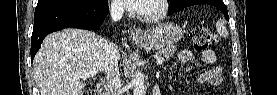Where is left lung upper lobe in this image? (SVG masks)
I'll return each instance as SVG.
<instances>
[{
    "label": "left lung upper lobe",
    "instance_id": "1",
    "mask_svg": "<svg viewBox=\"0 0 277 95\" xmlns=\"http://www.w3.org/2000/svg\"><path fill=\"white\" fill-rule=\"evenodd\" d=\"M186 0H170V5H169V10L174 8V7H177L179 5H181L182 3H184Z\"/></svg>",
    "mask_w": 277,
    "mask_h": 95
}]
</instances>
